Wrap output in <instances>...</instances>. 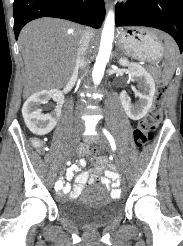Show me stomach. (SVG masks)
<instances>
[{"instance_id":"0dacf381","label":"stomach","mask_w":183,"mask_h":246,"mask_svg":"<svg viewBox=\"0 0 183 246\" xmlns=\"http://www.w3.org/2000/svg\"><path fill=\"white\" fill-rule=\"evenodd\" d=\"M157 32L146 28L121 29L118 33V42L126 54L141 60L156 61L164 52Z\"/></svg>"}]
</instances>
